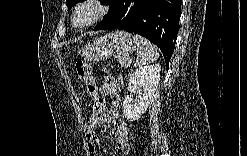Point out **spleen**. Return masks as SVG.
Instances as JSON below:
<instances>
[{
  "instance_id": "3e777b00",
  "label": "spleen",
  "mask_w": 247,
  "mask_h": 156,
  "mask_svg": "<svg viewBox=\"0 0 247 156\" xmlns=\"http://www.w3.org/2000/svg\"><path fill=\"white\" fill-rule=\"evenodd\" d=\"M137 44V61L141 64L152 63L158 58L157 48L146 38L135 35Z\"/></svg>"
}]
</instances>
